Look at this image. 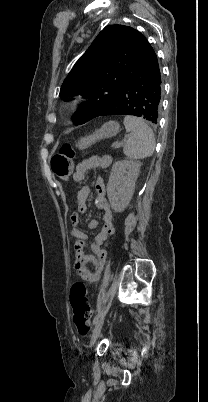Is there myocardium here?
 Wrapping results in <instances>:
<instances>
[{
  "instance_id": "1",
  "label": "myocardium",
  "mask_w": 208,
  "mask_h": 402,
  "mask_svg": "<svg viewBox=\"0 0 208 402\" xmlns=\"http://www.w3.org/2000/svg\"><path fill=\"white\" fill-rule=\"evenodd\" d=\"M80 100L79 99H73L71 101L68 102L67 104V109L68 110H74L76 109L79 105H80Z\"/></svg>"
}]
</instances>
